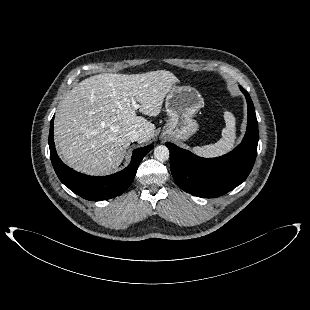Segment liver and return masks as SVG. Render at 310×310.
Segmentation results:
<instances>
[{
	"instance_id": "1",
	"label": "liver",
	"mask_w": 310,
	"mask_h": 310,
	"mask_svg": "<svg viewBox=\"0 0 310 310\" xmlns=\"http://www.w3.org/2000/svg\"><path fill=\"white\" fill-rule=\"evenodd\" d=\"M179 82L170 71L143 74L103 73L78 83L59 106L54 123L56 147L73 169L102 175L113 172L131 144L128 133L141 132L139 143L149 141L155 125L137 116L161 112L165 96Z\"/></svg>"
}]
</instances>
